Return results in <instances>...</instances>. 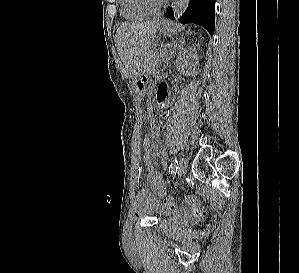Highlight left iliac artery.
I'll return each mask as SVG.
<instances>
[{
  "label": "left iliac artery",
  "mask_w": 299,
  "mask_h": 273,
  "mask_svg": "<svg viewBox=\"0 0 299 273\" xmlns=\"http://www.w3.org/2000/svg\"><path fill=\"white\" fill-rule=\"evenodd\" d=\"M177 168H178V160L175 159L172 161L168 171H169V173H173V172H175V170H177Z\"/></svg>",
  "instance_id": "44dca946"
}]
</instances>
